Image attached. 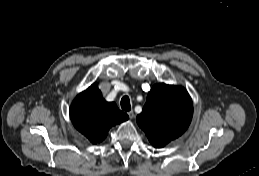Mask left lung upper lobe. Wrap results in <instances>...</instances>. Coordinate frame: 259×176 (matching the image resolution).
<instances>
[{"mask_svg": "<svg viewBox=\"0 0 259 176\" xmlns=\"http://www.w3.org/2000/svg\"><path fill=\"white\" fill-rule=\"evenodd\" d=\"M192 114V100L184 88L160 83L148 93L137 123L150 143L161 148L186 131Z\"/></svg>", "mask_w": 259, "mask_h": 176, "instance_id": "5c2ea615", "label": "left lung upper lobe"}]
</instances>
